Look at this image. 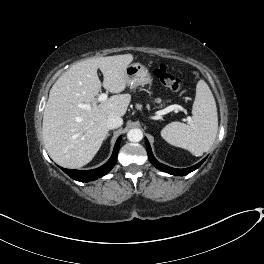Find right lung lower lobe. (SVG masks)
<instances>
[{"label": "right lung lower lobe", "mask_w": 264, "mask_h": 264, "mask_svg": "<svg viewBox=\"0 0 264 264\" xmlns=\"http://www.w3.org/2000/svg\"><path fill=\"white\" fill-rule=\"evenodd\" d=\"M121 142V137H119L116 141L114 146V150L110 159L101 167L93 170H70L62 168V170L69 175L72 179L81 181V182H88L93 181L99 177L106 175L115 165L117 160V153L119 150Z\"/></svg>", "instance_id": "obj_1"}]
</instances>
